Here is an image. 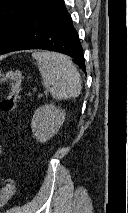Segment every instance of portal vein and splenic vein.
<instances>
[{"mask_svg":"<svg viewBox=\"0 0 128 213\" xmlns=\"http://www.w3.org/2000/svg\"><path fill=\"white\" fill-rule=\"evenodd\" d=\"M45 87H46V89L48 88V86H46V85H45ZM38 96L40 97V96H41V94H39Z\"/></svg>","mask_w":128,"mask_h":213,"instance_id":"obj_1","label":"portal vein and splenic vein"}]
</instances>
